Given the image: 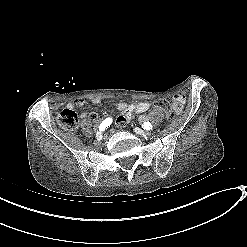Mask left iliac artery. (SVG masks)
I'll use <instances>...</instances> for the list:
<instances>
[{"label":"left iliac artery","mask_w":247,"mask_h":247,"mask_svg":"<svg viewBox=\"0 0 247 247\" xmlns=\"http://www.w3.org/2000/svg\"><path fill=\"white\" fill-rule=\"evenodd\" d=\"M152 127H153V126H152V124H151L149 121L144 122V123L142 124V128L145 129V130H151Z\"/></svg>","instance_id":"1"}]
</instances>
